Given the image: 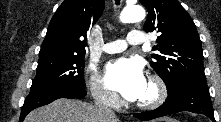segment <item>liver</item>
I'll return each instance as SVG.
<instances>
[{"label": "liver", "mask_w": 221, "mask_h": 122, "mask_svg": "<svg viewBox=\"0 0 221 122\" xmlns=\"http://www.w3.org/2000/svg\"><path fill=\"white\" fill-rule=\"evenodd\" d=\"M24 122H119L106 118L98 108L76 99L60 98L30 112Z\"/></svg>", "instance_id": "obj_1"}]
</instances>
